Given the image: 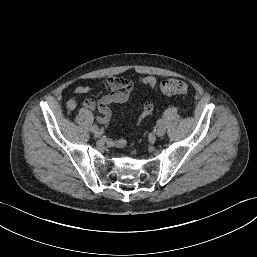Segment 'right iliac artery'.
I'll return each instance as SVG.
<instances>
[{
	"label": "right iliac artery",
	"mask_w": 257,
	"mask_h": 257,
	"mask_svg": "<svg viewBox=\"0 0 257 257\" xmlns=\"http://www.w3.org/2000/svg\"><path fill=\"white\" fill-rule=\"evenodd\" d=\"M97 129H99V127L96 126V125H93L92 128H91V130H92L93 133H94Z\"/></svg>",
	"instance_id": "1"
}]
</instances>
